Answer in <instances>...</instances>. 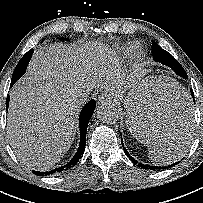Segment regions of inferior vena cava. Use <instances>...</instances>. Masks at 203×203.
I'll return each instance as SVG.
<instances>
[{
	"mask_svg": "<svg viewBox=\"0 0 203 203\" xmlns=\"http://www.w3.org/2000/svg\"><path fill=\"white\" fill-rule=\"evenodd\" d=\"M88 94L89 93H87V92H81V93H79L78 95H77V100H78V102H83L84 100H86L87 99V97H88Z\"/></svg>",
	"mask_w": 203,
	"mask_h": 203,
	"instance_id": "602c4592",
	"label": "inferior vena cava"
}]
</instances>
